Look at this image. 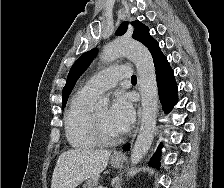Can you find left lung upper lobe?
<instances>
[{
	"label": "left lung upper lobe",
	"mask_w": 224,
	"mask_h": 188,
	"mask_svg": "<svg viewBox=\"0 0 224 188\" xmlns=\"http://www.w3.org/2000/svg\"><path fill=\"white\" fill-rule=\"evenodd\" d=\"M132 25L135 27V31L133 34V38L143 43L150 51L154 64L161 60L163 57V53L161 52L158 43L149 35V30L146 26H144L139 21L132 22ZM128 26V22H124L117 30L116 34H123ZM97 53V49H92L84 54H82L78 60L73 64L70 69V72L67 77L66 85L63 88L62 93V109H64L68 96L71 93L77 79L81 76V74L87 69L93 60L95 54Z\"/></svg>",
	"instance_id": "left-lung-upper-lobe-1"
}]
</instances>
